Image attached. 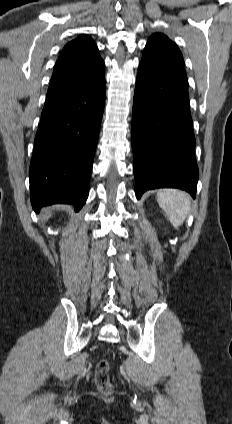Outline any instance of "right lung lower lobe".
Segmentation results:
<instances>
[{
	"label": "right lung lower lobe",
	"mask_w": 232,
	"mask_h": 424,
	"mask_svg": "<svg viewBox=\"0 0 232 424\" xmlns=\"http://www.w3.org/2000/svg\"><path fill=\"white\" fill-rule=\"evenodd\" d=\"M105 78L46 96L30 164L33 209L66 203L80 210L105 103Z\"/></svg>",
	"instance_id": "1"
}]
</instances>
